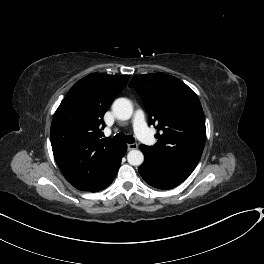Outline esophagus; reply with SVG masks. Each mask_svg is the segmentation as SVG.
<instances>
[{
	"label": "esophagus",
	"instance_id": "obj_1",
	"mask_svg": "<svg viewBox=\"0 0 264 264\" xmlns=\"http://www.w3.org/2000/svg\"><path fill=\"white\" fill-rule=\"evenodd\" d=\"M128 150H133V149H137L138 148V144L137 143H130L127 145Z\"/></svg>",
	"mask_w": 264,
	"mask_h": 264
}]
</instances>
